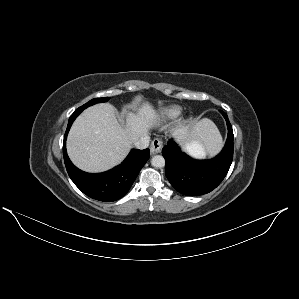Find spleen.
Here are the masks:
<instances>
[{"mask_svg":"<svg viewBox=\"0 0 299 299\" xmlns=\"http://www.w3.org/2000/svg\"><path fill=\"white\" fill-rule=\"evenodd\" d=\"M206 123H208L211 127H215V125L213 124V122L209 121V120H204ZM196 156H200L203 157L205 156V151L203 149V147H199L198 149H196V153H192Z\"/></svg>","mask_w":299,"mask_h":299,"instance_id":"spleen-1","label":"spleen"}]
</instances>
